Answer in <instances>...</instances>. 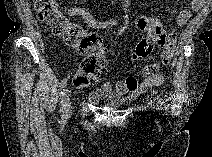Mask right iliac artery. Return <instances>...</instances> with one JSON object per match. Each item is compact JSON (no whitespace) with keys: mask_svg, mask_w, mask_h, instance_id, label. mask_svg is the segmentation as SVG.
Returning <instances> with one entry per match:
<instances>
[{"mask_svg":"<svg viewBox=\"0 0 212 157\" xmlns=\"http://www.w3.org/2000/svg\"><path fill=\"white\" fill-rule=\"evenodd\" d=\"M66 86H67V79H62L61 83H60L61 97H62V100H61V112H64L63 96H64V91H65Z\"/></svg>","mask_w":212,"mask_h":157,"instance_id":"obj_1","label":"right iliac artery"}]
</instances>
